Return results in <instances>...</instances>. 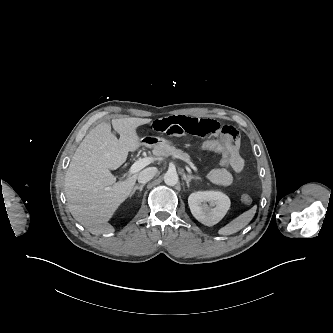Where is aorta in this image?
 I'll return each instance as SVG.
<instances>
[{
  "mask_svg": "<svg viewBox=\"0 0 333 333\" xmlns=\"http://www.w3.org/2000/svg\"><path fill=\"white\" fill-rule=\"evenodd\" d=\"M178 174L176 172L173 171H167L164 175V182L168 185V186H174L177 184L178 182Z\"/></svg>",
  "mask_w": 333,
  "mask_h": 333,
  "instance_id": "obj_1",
  "label": "aorta"
}]
</instances>
